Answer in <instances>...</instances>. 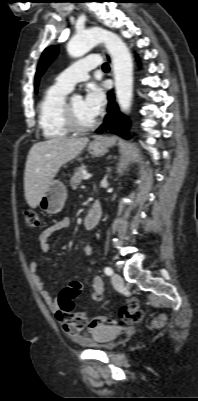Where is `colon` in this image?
<instances>
[{
    "instance_id": "1",
    "label": "colon",
    "mask_w": 198,
    "mask_h": 401,
    "mask_svg": "<svg viewBox=\"0 0 198 401\" xmlns=\"http://www.w3.org/2000/svg\"><path fill=\"white\" fill-rule=\"evenodd\" d=\"M23 217L25 225L29 228H37L39 226L38 214L30 209L23 211ZM76 282H72L68 287L63 289L59 295V306L60 308L69 314L76 315L80 327L86 326L90 321L83 314L79 313L74 304ZM143 318V313L140 310V303L137 298L128 300L119 311L118 319H114L108 316H100L94 318L92 321L98 325H130L140 322ZM165 323V317L160 315L156 317L152 323L154 328H161Z\"/></svg>"
}]
</instances>
